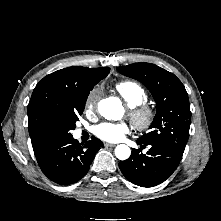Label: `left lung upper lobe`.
<instances>
[{"label": "left lung upper lobe", "instance_id": "left-lung-upper-lobe-1", "mask_svg": "<svg viewBox=\"0 0 221 221\" xmlns=\"http://www.w3.org/2000/svg\"><path fill=\"white\" fill-rule=\"evenodd\" d=\"M119 73L145 85L156 102V116L151 132L139 140L161 144L184 152L189 138L191 112L188 94L181 81L172 73L151 63H134L117 67Z\"/></svg>", "mask_w": 221, "mask_h": 221}]
</instances>
